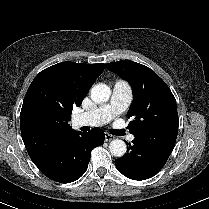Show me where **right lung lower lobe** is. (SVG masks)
I'll return each mask as SVG.
<instances>
[{
	"label": "right lung lower lobe",
	"mask_w": 209,
	"mask_h": 209,
	"mask_svg": "<svg viewBox=\"0 0 209 209\" xmlns=\"http://www.w3.org/2000/svg\"><path fill=\"white\" fill-rule=\"evenodd\" d=\"M104 138L99 128L89 133L73 131L34 164L51 180L73 182L86 172L91 150L103 144Z\"/></svg>",
	"instance_id": "98d812e1"
}]
</instances>
